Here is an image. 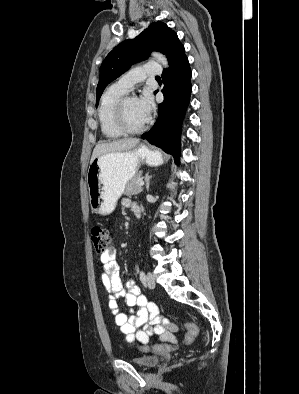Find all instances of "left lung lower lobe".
Here are the masks:
<instances>
[{"mask_svg":"<svg viewBox=\"0 0 299 394\" xmlns=\"http://www.w3.org/2000/svg\"><path fill=\"white\" fill-rule=\"evenodd\" d=\"M162 79L164 101L158 106V119L141 138L172 154L175 163L179 164L181 124L192 88L191 69L184 47L170 63V68L163 71Z\"/></svg>","mask_w":299,"mask_h":394,"instance_id":"obj_1","label":"left lung lower lobe"}]
</instances>
